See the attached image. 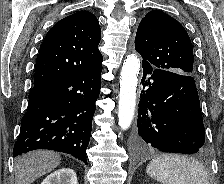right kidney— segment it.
I'll return each mask as SVG.
<instances>
[{
  "label": "right kidney",
  "instance_id": "obj_1",
  "mask_svg": "<svg viewBox=\"0 0 224 184\" xmlns=\"http://www.w3.org/2000/svg\"><path fill=\"white\" fill-rule=\"evenodd\" d=\"M41 184H78V182L72 169L62 168L48 175Z\"/></svg>",
  "mask_w": 224,
  "mask_h": 184
}]
</instances>
